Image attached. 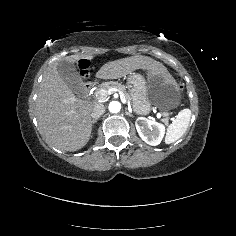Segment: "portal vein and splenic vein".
I'll return each instance as SVG.
<instances>
[{
	"mask_svg": "<svg viewBox=\"0 0 236 236\" xmlns=\"http://www.w3.org/2000/svg\"><path fill=\"white\" fill-rule=\"evenodd\" d=\"M113 91L112 88L106 90V89H100L98 92H97V97L100 99V100H104L107 98L108 95L111 94V92ZM120 99H121V102L126 105V100L124 98V95L120 94ZM157 117L160 118L161 117V113L160 112H157Z\"/></svg>",
	"mask_w": 236,
	"mask_h": 236,
	"instance_id": "obj_1",
	"label": "portal vein and splenic vein"
}]
</instances>
